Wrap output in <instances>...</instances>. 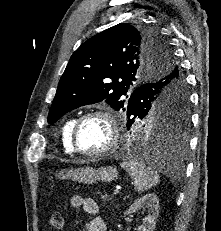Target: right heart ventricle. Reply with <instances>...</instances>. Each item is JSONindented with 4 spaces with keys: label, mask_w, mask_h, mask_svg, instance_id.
I'll list each match as a JSON object with an SVG mask.
<instances>
[{
    "label": "right heart ventricle",
    "mask_w": 221,
    "mask_h": 231,
    "mask_svg": "<svg viewBox=\"0 0 221 231\" xmlns=\"http://www.w3.org/2000/svg\"><path fill=\"white\" fill-rule=\"evenodd\" d=\"M74 122L75 118H69L64 122L61 128V142L63 150L68 154H72L74 152L71 145V131Z\"/></svg>",
    "instance_id": "obj_1"
}]
</instances>
